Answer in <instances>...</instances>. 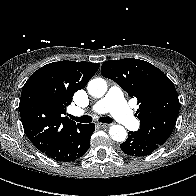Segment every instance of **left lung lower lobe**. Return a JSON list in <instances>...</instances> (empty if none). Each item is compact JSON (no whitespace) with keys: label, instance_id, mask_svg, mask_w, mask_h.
Segmentation results:
<instances>
[{"label":"left lung lower lobe","instance_id":"left-lung-lower-lobe-1","mask_svg":"<svg viewBox=\"0 0 196 196\" xmlns=\"http://www.w3.org/2000/svg\"><path fill=\"white\" fill-rule=\"evenodd\" d=\"M128 138L120 145L121 150L129 156L141 157L147 156L157 150L159 145L145 140L137 132H129Z\"/></svg>","mask_w":196,"mask_h":196}]
</instances>
